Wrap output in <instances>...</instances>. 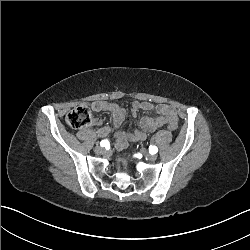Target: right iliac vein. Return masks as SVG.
Wrapping results in <instances>:
<instances>
[{"instance_id":"obj_1","label":"right iliac vein","mask_w":250,"mask_h":250,"mask_svg":"<svg viewBox=\"0 0 250 250\" xmlns=\"http://www.w3.org/2000/svg\"><path fill=\"white\" fill-rule=\"evenodd\" d=\"M94 151L96 154H102L105 150L101 146H97V147H95Z\"/></svg>"}]
</instances>
